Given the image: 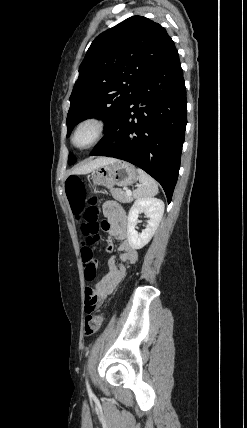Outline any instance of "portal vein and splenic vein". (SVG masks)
Here are the masks:
<instances>
[{"label":"portal vein and splenic vein","mask_w":247,"mask_h":428,"mask_svg":"<svg viewBox=\"0 0 247 428\" xmlns=\"http://www.w3.org/2000/svg\"><path fill=\"white\" fill-rule=\"evenodd\" d=\"M126 194H127L128 196H131V195H132L131 190H126Z\"/></svg>","instance_id":"portal-vein-and-splenic-vein-1"}]
</instances>
